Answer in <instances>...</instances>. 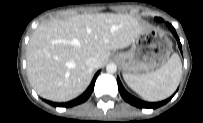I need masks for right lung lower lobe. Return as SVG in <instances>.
Listing matches in <instances>:
<instances>
[{
    "instance_id": "right-lung-lower-lobe-1",
    "label": "right lung lower lobe",
    "mask_w": 203,
    "mask_h": 123,
    "mask_svg": "<svg viewBox=\"0 0 203 123\" xmlns=\"http://www.w3.org/2000/svg\"><path fill=\"white\" fill-rule=\"evenodd\" d=\"M99 73H100V71H98V72L95 74V76H94V78H93V80H92L90 86H89V87L87 88V90H86L81 96H79L78 98H76V99H74V100H72V101H70V102H66V103H54V102H50V101H47V102H48L50 105L55 106V107H72V106H75V105H78V104H81V103L85 102V101L90 97V95H91V93H92V91H93V89H94L95 80H96V78H97V76H98Z\"/></svg>"
}]
</instances>
